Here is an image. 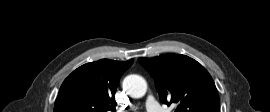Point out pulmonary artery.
<instances>
[{"label": "pulmonary artery", "instance_id": "pulmonary-artery-1", "mask_svg": "<svg viewBox=\"0 0 270 112\" xmlns=\"http://www.w3.org/2000/svg\"><path fill=\"white\" fill-rule=\"evenodd\" d=\"M146 107L148 112H163L158 102L152 96L147 98Z\"/></svg>", "mask_w": 270, "mask_h": 112}]
</instances>
